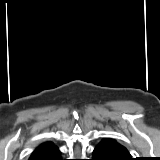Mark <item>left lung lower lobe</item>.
<instances>
[{"mask_svg":"<svg viewBox=\"0 0 160 160\" xmlns=\"http://www.w3.org/2000/svg\"><path fill=\"white\" fill-rule=\"evenodd\" d=\"M91 160H133V158L116 140L104 138L96 145Z\"/></svg>","mask_w":160,"mask_h":160,"instance_id":"left-lung-lower-lobe-1","label":"left lung lower lobe"}]
</instances>
